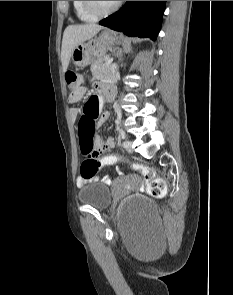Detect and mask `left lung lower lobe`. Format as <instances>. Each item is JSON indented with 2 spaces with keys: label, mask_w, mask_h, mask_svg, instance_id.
Listing matches in <instances>:
<instances>
[{
  "label": "left lung lower lobe",
  "mask_w": 233,
  "mask_h": 295,
  "mask_svg": "<svg viewBox=\"0 0 233 295\" xmlns=\"http://www.w3.org/2000/svg\"><path fill=\"white\" fill-rule=\"evenodd\" d=\"M164 10L165 1H127L119 11L101 20L99 24L128 36L155 40Z\"/></svg>",
  "instance_id": "1"
}]
</instances>
